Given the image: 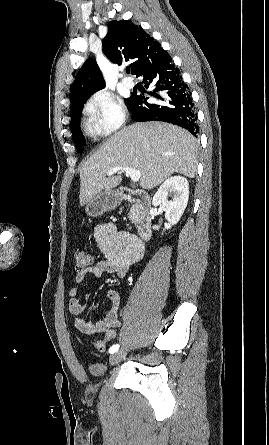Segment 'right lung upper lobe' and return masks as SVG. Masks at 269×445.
Wrapping results in <instances>:
<instances>
[{
	"instance_id": "obj_1",
	"label": "right lung upper lobe",
	"mask_w": 269,
	"mask_h": 445,
	"mask_svg": "<svg viewBox=\"0 0 269 445\" xmlns=\"http://www.w3.org/2000/svg\"><path fill=\"white\" fill-rule=\"evenodd\" d=\"M103 53L118 65L129 63L132 74L139 75L149 64L167 52L141 26L130 20L111 21L102 42ZM105 85L96 61L89 58L81 67L71 89V107L86 102Z\"/></svg>"
}]
</instances>
